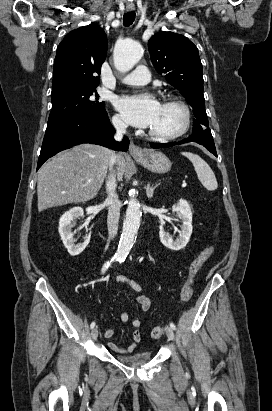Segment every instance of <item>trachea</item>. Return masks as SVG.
I'll use <instances>...</instances> for the list:
<instances>
[{
  "label": "trachea",
  "instance_id": "3493384b",
  "mask_svg": "<svg viewBox=\"0 0 272 411\" xmlns=\"http://www.w3.org/2000/svg\"><path fill=\"white\" fill-rule=\"evenodd\" d=\"M134 20H135V12H133V11L125 13L124 16H123V24L126 27L132 25Z\"/></svg>",
  "mask_w": 272,
  "mask_h": 411
}]
</instances>
